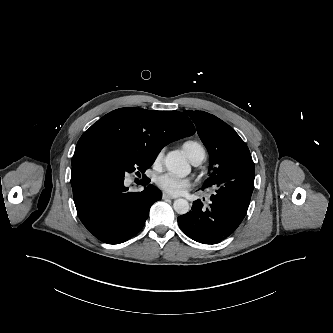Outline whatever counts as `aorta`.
<instances>
[{
  "label": "aorta",
  "instance_id": "aorta-1",
  "mask_svg": "<svg viewBox=\"0 0 333 333\" xmlns=\"http://www.w3.org/2000/svg\"><path fill=\"white\" fill-rule=\"evenodd\" d=\"M165 167L170 173L180 178L187 176L191 171L188 162L176 151L167 154L165 158ZM173 208L176 213L183 215L189 211V203L186 199L179 198L174 201Z\"/></svg>",
  "mask_w": 333,
  "mask_h": 333
}]
</instances>
